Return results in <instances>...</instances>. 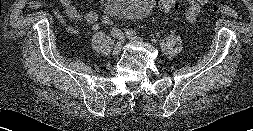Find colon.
I'll return each instance as SVG.
<instances>
[{
    "instance_id": "obj_1",
    "label": "colon",
    "mask_w": 253,
    "mask_h": 131,
    "mask_svg": "<svg viewBox=\"0 0 253 131\" xmlns=\"http://www.w3.org/2000/svg\"><path fill=\"white\" fill-rule=\"evenodd\" d=\"M157 7L163 12H169L178 7V0H157ZM213 11L232 18H239L240 16L239 12L229 3L215 5ZM101 23L106 28H111L114 25V19L108 13H103Z\"/></svg>"
}]
</instances>
